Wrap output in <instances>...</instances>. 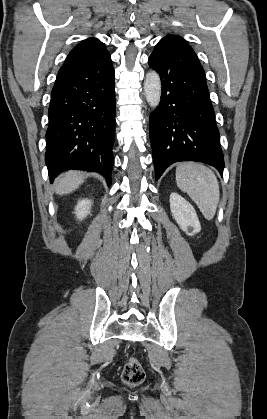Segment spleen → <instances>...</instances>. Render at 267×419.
Here are the masks:
<instances>
[{
	"instance_id": "3e777b00",
	"label": "spleen",
	"mask_w": 267,
	"mask_h": 419,
	"mask_svg": "<svg viewBox=\"0 0 267 419\" xmlns=\"http://www.w3.org/2000/svg\"><path fill=\"white\" fill-rule=\"evenodd\" d=\"M176 182L197 204L203 216L212 220L220 198L219 183L214 172L206 166L184 162L176 168Z\"/></svg>"
}]
</instances>
